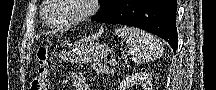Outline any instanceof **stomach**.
<instances>
[{
  "label": "stomach",
  "mask_w": 216,
  "mask_h": 90,
  "mask_svg": "<svg viewBox=\"0 0 216 90\" xmlns=\"http://www.w3.org/2000/svg\"><path fill=\"white\" fill-rule=\"evenodd\" d=\"M110 48L105 44H89L70 53V59L77 62H95L105 58Z\"/></svg>",
  "instance_id": "stomach-1"
}]
</instances>
